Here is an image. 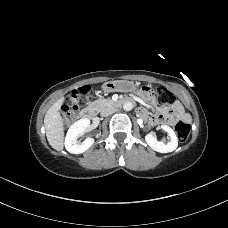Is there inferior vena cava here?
I'll list each match as a JSON object with an SVG mask.
<instances>
[{"mask_svg": "<svg viewBox=\"0 0 228 228\" xmlns=\"http://www.w3.org/2000/svg\"><path fill=\"white\" fill-rule=\"evenodd\" d=\"M115 111H116V108H114V107H108V108L104 109L101 112V115L102 116H109V115L113 114Z\"/></svg>", "mask_w": 228, "mask_h": 228, "instance_id": "inferior-vena-cava-1", "label": "inferior vena cava"}]
</instances>
